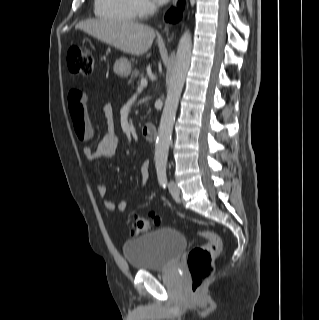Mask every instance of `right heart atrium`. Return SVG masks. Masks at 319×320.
Wrapping results in <instances>:
<instances>
[{"mask_svg": "<svg viewBox=\"0 0 319 320\" xmlns=\"http://www.w3.org/2000/svg\"><path fill=\"white\" fill-rule=\"evenodd\" d=\"M136 14L140 17L150 15L155 9L154 0H133Z\"/></svg>", "mask_w": 319, "mask_h": 320, "instance_id": "1", "label": "right heart atrium"}]
</instances>
